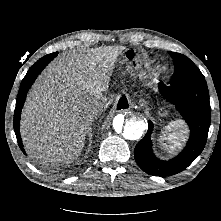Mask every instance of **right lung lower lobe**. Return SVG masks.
Returning a JSON list of instances; mask_svg holds the SVG:
<instances>
[{"label":"right lung lower lobe","instance_id":"1","mask_svg":"<svg viewBox=\"0 0 221 221\" xmlns=\"http://www.w3.org/2000/svg\"><path fill=\"white\" fill-rule=\"evenodd\" d=\"M58 52L51 53L49 55H46L39 59L27 72L25 77L22 80L18 95H17V100H16V107H15V112H14V131L17 137L18 145L23 151L24 154V148L19 132V123H20V114L23 108V104L27 95V92L29 88L31 87L32 83L36 79V77L39 75V73L45 68V66L53 60L57 56Z\"/></svg>","mask_w":221,"mask_h":221}]
</instances>
